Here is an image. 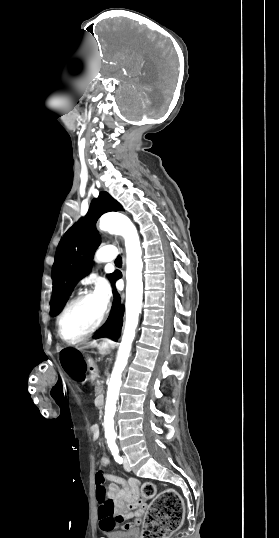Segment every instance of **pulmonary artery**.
Returning <instances> with one entry per match:
<instances>
[{
	"label": "pulmonary artery",
	"mask_w": 279,
	"mask_h": 538,
	"mask_svg": "<svg viewBox=\"0 0 279 538\" xmlns=\"http://www.w3.org/2000/svg\"><path fill=\"white\" fill-rule=\"evenodd\" d=\"M109 260H111V258L106 257V258H102L100 261L105 262V261H109Z\"/></svg>",
	"instance_id": "obj_1"
}]
</instances>
